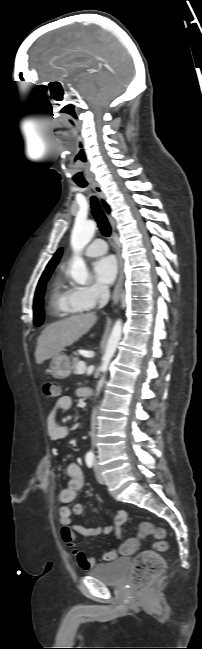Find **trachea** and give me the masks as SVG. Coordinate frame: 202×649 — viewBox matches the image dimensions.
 <instances>
[{
	"label": "trachea",
	"instance_id": "trachea-1",
	"mask_svg": "<svg viewBox=\"0 0 202 649\" xmlns=\"http://www.w3.org/2000/svg\"><path fill=\"white\" fill-rule=\"evenodd\" d=\"M78 186L86 187L87 183H78ZM91 209H92V214L98 223L100 232L102 233V235L109 237L111 235V226L101 208L98 199L95 196L91 197Z\"/></svg>",
	"mask_w": 202,
	"mask_h": 649
}]
</instances>
